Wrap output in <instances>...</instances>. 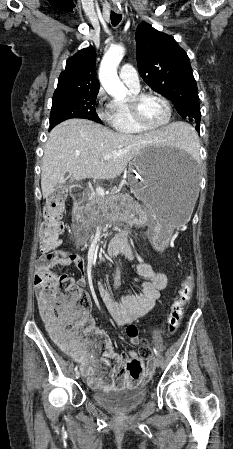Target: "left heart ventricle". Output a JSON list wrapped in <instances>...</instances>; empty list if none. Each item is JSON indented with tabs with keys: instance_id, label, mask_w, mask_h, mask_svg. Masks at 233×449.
<instances>
[{
	"instance_id": "left-heart-ventricle-1",
	"label": "left heart ventricle",
	"mask_w": 233,
	"mask_h": 449,
	"mask_svg": "<svg viewBox=\"0 0 233 449\" xmlns=\"http://www.w3.org/2000/svg\"><path fill=\"white\" fill-rule=\"evenodd\" d=\"M140 112L144 121L150 125H158L165 121L167 108L158 98L145 97L140 103Z\"/></svg>"
}]
</instances>
